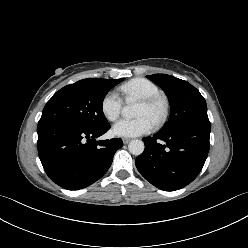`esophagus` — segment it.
Here are the masks:
<instances>
[{"label":"esophagus","mask_w":248,"mask_h":248,"mask_svg":"<svg viewBox=\"0 0 248 248\" xmlns=\"http://www.w3.org/2000/svg\"><path fill=\"white\" fill-rule=\"evenodd\" d=\"M131 141L130 138H123V143L128 144Z\"/></svg>","instance_id":"34e87169"}]
</instances>
